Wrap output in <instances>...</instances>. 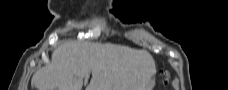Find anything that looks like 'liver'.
Instances as JSON below:
<instances>
[{
  "label": "liver",
  "mask_w": 228,
  "mask_h": 90,
  "mask_svg": "<svg viewBox=\"0 0 228 90\" xmlns=\"http://www.w3.org/2000/svg\"><path fill=\"white\" fill-rule=\"evenodd\" d=\"M90 73L86 90H150L155 61L147 51L128 46L64 41L31 83L36 90H81Z\"/></svg>",
  "instance_id": "liver-1"
}]
</instances>
